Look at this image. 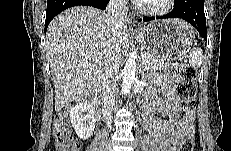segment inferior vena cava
<instances>
[{"mask_svg": "<svg viewBox=\"0 0 231 151\" xmlns=\"http://www.w3.org/2000/svg\"><path fill=\"white\" fill-rule=\"evenodd\" d=\"M127 2V0H110L107 5L106 18L111 32H116L124 25V20L128 14ZM120 60V51L113 48L106 60L102 79V113L104 118L109 120L108 126L111 124L114 109L113 97L117 87L116 76Z\"/></svg>", "mask_w": 231, "mask_h": 151, "instance_id": "obj_1", "label": "inferior vena cava"}]
</instances>
